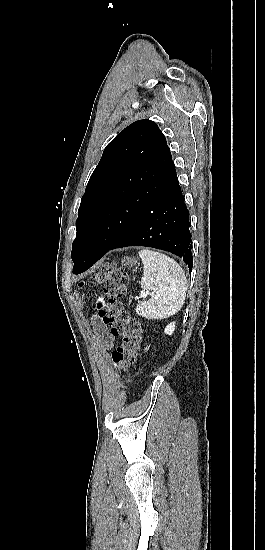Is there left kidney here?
Wrapping results in <instances>:
<instances>
[{
    "label": "left kidney",
    "instance_id": "left-kidney-1",
    "mask_svg": "<svg viewBox=\"0 0 265 550\" xmlns=\"http://www.w3.org/2000/svg\"><path fill=\"white\" fill-rule=\"evenodd\" d=\"M174 330H175V322H172V323H170L169 325L166 326L164 332L167 335H172Z\"/></svg>",
    "mask_w": 265,
    "mask_h": 550
}]
</instances>
